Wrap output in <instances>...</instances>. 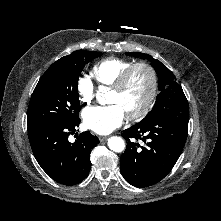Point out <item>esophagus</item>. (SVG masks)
Returning <instances> with one entry per match:
<instances>
[{
	"label": "esophagus",
	"instance_id": "esophagus-1",
	"mask_svg": "<svg viewBox=\"0 0 221 221\" xmlns=\"http://www.w3.org/2000/svg\"><path fill=\"white\" fill-rule=\"evenodd\" d=\"M108 139V137H106V136H100L99 137V140L101 141V142H104V141H106Z\"/></svg>",
	"mask_w": 221,
	"mask_h": 221
}]
</instances>
